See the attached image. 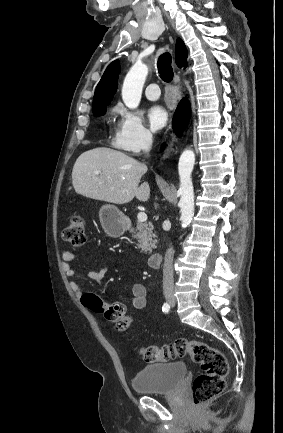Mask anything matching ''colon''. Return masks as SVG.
<instances>
[{
    "label": "colon",
    "mask_w": 283,
    "mask_h": 433,
    "mask_svg": "<svg viewBox=\"0 0 283 433\" xmlns=\"http://www.w3.org/2000/svg\"><path fill=\"white\" fill-rule=\"evenodd\" d=\"M63 238L73 248H81L86 242V223L82 216L74 215L63 230ZM85 307L103 314L116 330L126 332L132 319L126 314L122 303H106L94 293L84 294L81 298ZM140 357L146 362L167 361L176 357L189 356L198 364L202 373L192 384L193 402L196 406L204 405L225 389V378L229 366L224 354L205 342L179 338L170 344L145 345L139 348Z\"/></svg>",
    "instance_id": "1"
}]
</instances>
